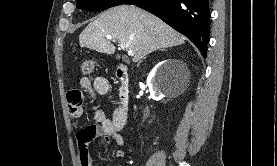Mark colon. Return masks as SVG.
<instances>
[{"mask_svg": "<svg viewBox=\"0 0 277 166\" xmlns=\"http://www.w3.org/2000/svg\"><path fill=\"white\" fill-rule=\"evenodd\" d=\"M80 69L84 74H90L94 69V62L92 59H84L80 64Z\"/></svg>", "mask_w": 277, "mask_h": 166, "instance_id": "5ec220e1", "label": "colon"}]
</instances>
